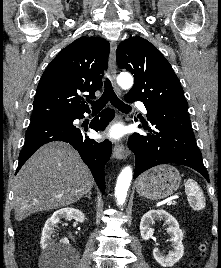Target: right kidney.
Segmentation results:
<instances>
[{"label": "right kidney", "instance_id": "ca27d5eb", "mask_svg": "<svg viewBox=\"0 0 221 268\" xmlns=\"http://www.w3.org/2000/svg\"><path fill=\"white\" fill-rule=\"evenodd\" d=\"M61 219H74L76 222L83 223L85 220V215L79 209L63 208L55 211L53 215L47 219L42 230L40 243L42 249L48 251L49 253H52L55 249V245L51 237L54 232V228L57 226ZM60 243L63 245H68L69 241L67 238H64Z\"/></svg>", "mask_w": 221, "mask_h": 268}]
</instances>
